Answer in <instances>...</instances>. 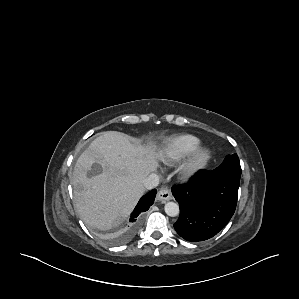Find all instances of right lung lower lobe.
Segmentation results:
<instances>
[{
    "mask_svg": "<svg viewBox=\"0 0 299 299\" xmlns=\"http://www.w3.org/2000/svg\"><path fill=\"white\" fill-rule=\"evenodd\" d=\"M156 193H157L156 189H153L152 191H150L140 199V201L138 202L137 206L135 207L131 215L130 224L125 229V232L120 237L119 241L127 240L134 234L138 226V222L136 221L137 220L139 221L143 212L147 211L149 207L153 204Z\"/></svg>",
    "mask_w": 299,
    "mask_h": 299,
    "instance_id": "obj_1",
    "label": "right lung lower lobe"
}]
</instances>
